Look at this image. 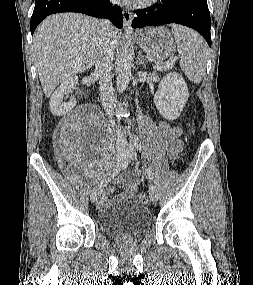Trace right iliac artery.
I'll use <instances>...</instances> for the list:
<instances>
[{"instance_id":"right-iliac-artery-1","label":"right iliac artery","mask_w":253,"mask_h":285,"mask_svg":"<svg viewBox=\"0 0 253 285\" xmlns=\"http://www.w3.org/2000/svg\"><path fill=\"white\" fill-rule=\"evenodd\" d=\"M127 164H128V161L127 162L125 161V163L123 165H127Z\"/></svg>"}]
</instances>
